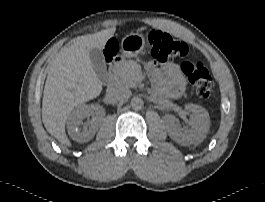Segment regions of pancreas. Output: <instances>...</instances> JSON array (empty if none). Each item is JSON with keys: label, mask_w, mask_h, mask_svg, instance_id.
Instances as JSON below:
<instances>
[{"label": "pancreas", "mask_w": 265, "mask_h": 202, "mask_svg": "<svg viewBox=\"0 0 265 202\" xmlns=\"http://www.w3.org/2000/svg\"><path fill=\"white\" fill-rule=\"evenodd\" d=\"M114 74L119 82L129 87H136L141 76V67L133 60L116 65Z\"/></svg>", "instance_id": "obj_1"}]
</instances>
